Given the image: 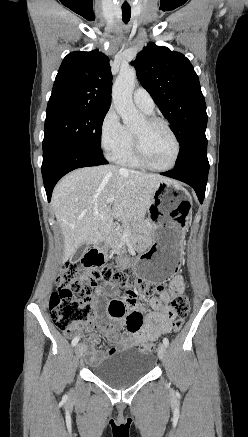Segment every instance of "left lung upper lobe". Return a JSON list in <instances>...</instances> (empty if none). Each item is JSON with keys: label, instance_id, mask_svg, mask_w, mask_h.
I'll return each mask as SVG.
<instances>
[{"label": "left lung upper lobe", "instance_id": "1", "mask_svg": "<svg viewBox=\"0 0 248 437\" xmlns=\"http://www.w3.org/2000/svg\"><path fill=\"white\" fill-rule=\"evenodd\" d=\"M131 64L172 126L180 145L179 165L207 144L208 117L198 76L183 54L154 43H149Z\"/></svg>", "mask_w": 248, "mask_h": 437}]
</instances>
